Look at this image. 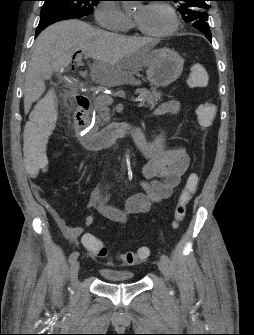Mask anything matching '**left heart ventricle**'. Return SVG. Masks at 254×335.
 I'll list each match as a JSON object with an SVG mask.
<instances>
[{"label": "left heart ventricle", "mask_w": 254, "mask_h": 335, "mask_svg": "<svg viewBox=\"0 0 254 335\" xmlns=\"http://www.w3.org/2000/svg\"><path fill=\"white\" fill-rule=\"evenodd\" d=\"M134 18L143 30L150 33L164 32L172 26L170 13L152 4L139 6L134 12Z\"/></svg>", "instance_id": "b2bd125f"}]
</instances>
